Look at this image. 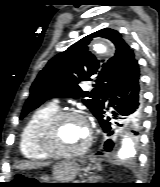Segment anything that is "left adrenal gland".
Here are the masks:
<instances>
[{"label": "left adrenal gland", "mask_w": 160, "mask_h": 187, "mask_svg": "<svg viewBox=\"0 0 160 187\" xmlns=\"http://www.w3.org/2000/svg\"><path fill=\"white\" fill-rule=\"evenodd\" d=\"M93 179H94L93 177L90 178V180H93Z\"/></svg>", "instance_id": "a2214340"}]
</instances>
